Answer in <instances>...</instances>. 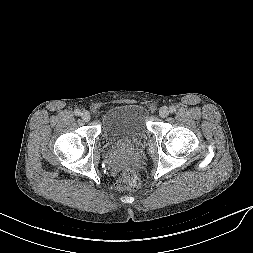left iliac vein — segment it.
<instances>
[{"mask_svg":"<svg viewBox=\"0 0 253 253\" xmlns=\"http://www.w3.org/2000/svg\"><path fill=\"white\" fill-rule=\"evenodd\" d=\"M169 113H170V109L166 106L161 107V109L159 110V115L162 118L167 117Z\"/></svg>","mask_w":253,"mask_h":253,"instance_id":"1","label":"left iliac vein"}]
</instances>
